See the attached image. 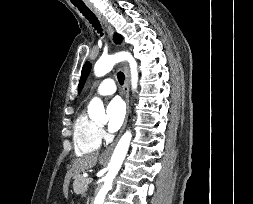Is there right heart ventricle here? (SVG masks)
<instances>
[{
	"instance_id": "obj_1",
	"label": "right heart ventricle",
	"mask_w": 253,
	"mask_h": 204,
	"mask_svg": "<svg viewBox=\"0 0 253 204\" xmlns=\"http://www.w3.org/2000/svg\"><path fill=\"white\" fill-rule=\"evenodd\" d=\"M73 143L76 155L83 156L97 151L101 140L97 125L90 120L86 113L81 112L74 123Z\"/></svg>"
}]
</instances>
